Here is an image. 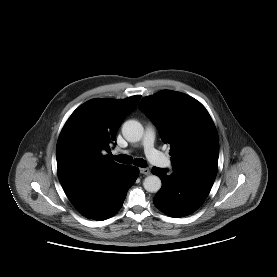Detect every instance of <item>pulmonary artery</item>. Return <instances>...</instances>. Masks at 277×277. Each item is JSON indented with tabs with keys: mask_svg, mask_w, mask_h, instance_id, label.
Wrapping results in <instances>:
<instances>
[{
	"mask_svg": "<svg viewBox=\"0 0 277 277\" xmlns=\"http://www.w3.org/2000/svg\"><path fill=\"white\" fill-rule=\"evenodd\" d=\"M154 137V129L151 126H147L142 140L147 158L151 163L159 167L170 168L172 165L171 160L154 147Z\"/></svg>",
	"mask_w": 277,
	"mask_h": 277,
	"instance_id": "obj_1",
	"label": "pulmonary artery"
}]
</instances>
